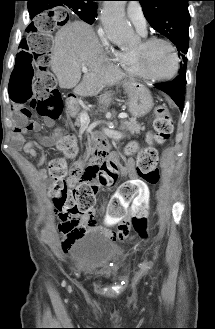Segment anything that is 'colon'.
<instances>
[{"label":"colon","instance_id":"1","mask_svg":"<svg viewBox=\"0 0 215 329\" xmlns=\"http://www.w3.org/2000/svg\"><path fill=\"white\" fill-rule=\"evenodd\" d=\"M66 21H71V14H34L31 25H27L26 37L21 39V53L14 56L15 66L12 68L13 73L26 74H14V81H10L9 86H6L11 103H16V109H21V117H26L29 109L52 120L59 117L62 100L49 63L51 38H55V32H62ZM173 129L172 115L164 106H158L155 109L154 132L148 135L149 142L164 143L170 138ZM59 147L64 156L53 159L48 168L53 181L50 196L61 220L85 217L92 211L96 195L116 184L118 169L111 161H99L83 169L70 171V175L75 179L70 182V175L67 177L66 159L76 154L75 138L71 135L63 136ZM126 152L134 156L137 152L136 144L130 143ZM136 160L137 171L143 182L151 186L156 185L159 180L156 148L147 146L141 149ZM147 201L149 202V199ZM132 225L141 237H149L146 232L147 218H132Z\"/></svg>","mask_w":215,"mask_h":329}]
</instances>
